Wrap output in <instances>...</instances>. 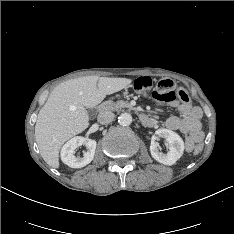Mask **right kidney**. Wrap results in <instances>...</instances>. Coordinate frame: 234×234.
<instances>
[{"instance_id":"right-kidney-1","label":"right kidney","mask_w":234,"mask_h":234,"mask_svg":"<svg viewBox=\"0 0 234 234\" xmlns=\"http://www.w3.org/2000/svg\"><path fill=\"white\" fill-rule=\"evenodd\" d=\"M85 144L87 151L84 152L83 157H76L74 155L78 146ZM96 141L92 139H85L81 136H76L64 144L61 149V160L64 164L71 168H81L88 165L94 158L96 150Z\"/></svg>"}]
</instances>
